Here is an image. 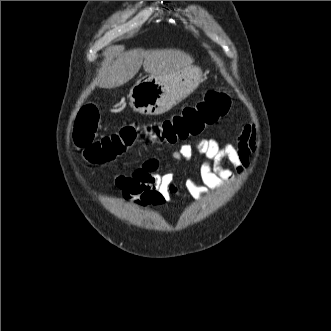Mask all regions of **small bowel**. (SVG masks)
<instances>
[{
    "label": "small bowel",
    "mask_w": 331,
    "mask_h": 331,
    "mask_svg": "<svg viewBox=\"0 0 331 331\" xmlns=\"http://www.w3.org/2000/svg\"><path fill=\"white\" fill-rule=\"evenodd\" d=\"M257 148L256 130L252 124H246L237 138L236 145L219 144L214 139L202 138L193 147L183 144L173 152L176 160L189 161L197 152L204 157L199 166L201 184L187 179L185 186L194 197H204L211 191L222 188L233 181L236 174H243L249 166L250 156ZM227 160L234 171L221 166ZM160 161L156 158L145 159L130 174H119L115 185L122 197L138 207L160 206L177 194L172 173H159Z\"/></svg>",
    "instance_id": "small-bowel-1"
}]
</instances>
